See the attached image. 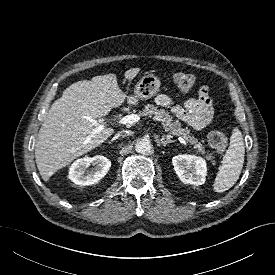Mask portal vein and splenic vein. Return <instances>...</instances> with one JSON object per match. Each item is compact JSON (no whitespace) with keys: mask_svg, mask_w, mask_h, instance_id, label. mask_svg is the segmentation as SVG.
Instances as JSON below:
<instances>
[{"mask_svg":"<svg viewBox=\"0 0 275 275\" xmlns=\"http://www.w3.org/2000/svg\"><path fill=\"white\" fill-rule=\"evenodd\" d=\"M86 119L92 123L96 128L93 130V134H96L98 132H100L101 130H103L105 127L108 126L107 123L105 122H98L97 120L91 118V117H86ZM140 119V115L137 114H130V115H126L122 118H119L118 120H116L117 124H122V125H133L134 123L138 122ZM168 137H171L170 135H168ZM178 140L180 141V143H182L183 145H187L186 141L179 137ZM88 142V140H87Z\"/></svg>","mask_w":275,"mask_h":275,"instance_id":"portal-vein-and-splenic-vein-1","label":"portal vein and splenic vein"}]
</instances>
